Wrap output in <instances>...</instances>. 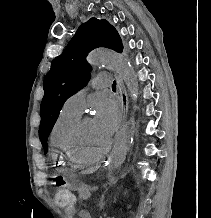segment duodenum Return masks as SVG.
Returning <instances> with one entry per match:
<instances>
[{"instance_id": "duodenum-1", "label": "duodenum", "mask_w": 211, "mask_h": 218, "mask_svg": "<svg viewBox=\"0 0 211 218\" xmlns=\"http://www.w3.org/2000/svg\"><path fill=\"white\" fill-rule=\"evenodd\" d=\"M79 216L81 218H91V214L87 210H81L80 213H79Z\"/></svg>"}]
</instances>
